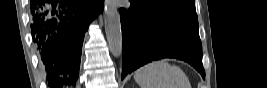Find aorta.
Masks as SVG:
<instances>
[{
  "instance_id": "1",
  "label": "aorta",
  "mask_w": 267,
  "mask_h": 88,
  "mask_svg": "<svg viewBox=\"0 0 267 88\" xmlns=\"http://www.w3.org/2000/svg\"><path fill=\"white\" fill-rule=\"evenodd\" d=\"M105 32L110 52L114 57L122 54V32L117 6L114 0L104 2Z\"/></svg>"
}]
</instances>
